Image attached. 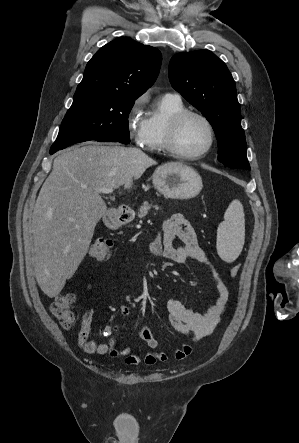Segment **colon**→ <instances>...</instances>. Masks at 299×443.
Masks as SVG:
<instances>
[{"instance_id": "1", "label": "colon", "mask_w": 299, "mask_h": 443, "mask_svg": "<svg viewBox=\"0 0 299 443\" xmlns=\"http://www.w3.org/2000/svg\"><path fill=\"white\" fill-rule=\"evenodd\" d=\"M112 242L108 239H98L94 241L88 251L91 259L102 261L110 257ZM241 266L236 264L232 266L230 272L232 276H237L240 272ZM76 300L73 293L57 296L51 304L52 313L60 320L62 326L70 329L76 323L77 317L72 309V305Z\"/></svg>"}]
</instances>
